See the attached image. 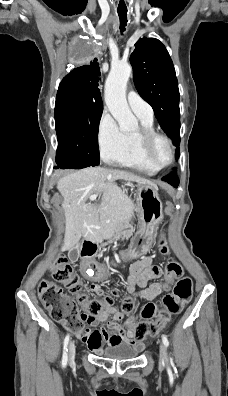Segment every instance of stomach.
<instances>
[{
  "instance_id": "obj_1",
  "label": "stomach",
  "mask_w": 228,
  "mask_h": 396,
  "mask_svg": "<svg viewBox=\"0 0 228 396\" xmlns=\"http://www.w3.org/2000/svg\"><path fill=\"white\" fill-rule=\"evenodd\" d=\"M139 229L131 238L128 254L131 258L145 255L151 248L156 226L163 219V205L158 188L152 184H139L137 189Z\"/></svg>"
}]
</instances>
